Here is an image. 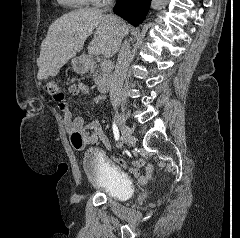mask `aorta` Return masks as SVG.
Masks as SVG:
<instances>
[{
	"label": "aorta",
	"instance_id": "762f6f07",
	"mask_svg": "<svg viewBox=\"0 0 240 238\" xmlns=\"http://www.w3.org/2000/svg\"><path fill=\"white\" fill-rule=\"evenodd\" d=\"M166 1L167 0H152L151 8H153L155 10L156 9H160V8H162L165 5Z\"/></svg>",
	"mask_w": 240,
	"mask_h": 238
}]
</instances>
